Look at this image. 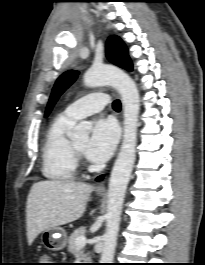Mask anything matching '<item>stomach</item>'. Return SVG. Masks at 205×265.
<instances>
[{
    "label": "stomach",
    "instance_id": "0dacf381",
    "mask_svg": "<svg viewBox=\"0 0 205 265\" xmlns=\"http://www.w3.org/2000/svg\"><path fill=\"white\" fill-rule=\"evenodd\" d=\"M42 242L47 249L60 251L66 246L67 234L62 228H50L42 233Z\"/></svg>",
    "mask_w": 205,
    "mask_h": 265
}]
</instances>
